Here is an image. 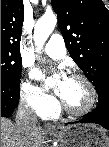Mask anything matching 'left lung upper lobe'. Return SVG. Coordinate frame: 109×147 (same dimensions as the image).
<instances>
[{
  "instance_id": "left-lung-upper-lobe-1",
  "label": "left lung upper lobe",
  "mask_w": 109,
  "mask_h": 147,
  "mask_svg": "<svg viewBox=\"0 0 109 147\" xmlns=\"http://www.w3.org/2000/svg\"><path fill=\"white\" fill-rule=\"evenodd\" d=\"M66 47L98 92L109 85V11L101 0H52Z\"/></svg>"
}]
</instances>
